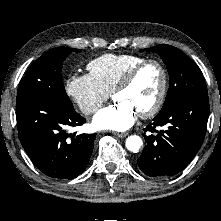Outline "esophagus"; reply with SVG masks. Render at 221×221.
<instances>
[{
    "label": "esophagus",
    "mask_w": 221,
    "mask_h": 221,
    "mask_svg": "<svg viewBox=\"0 0 221 221\" xmlns=\"http://www.w3.org/2000/svg\"><path fill=\"white\" fill-rule=\"evenodd\" d=\"M116 136H118L119 138H124L127 136V133H114Z\"/></svg>",
    "instance_id": "34e87169"
}]
</instances>
